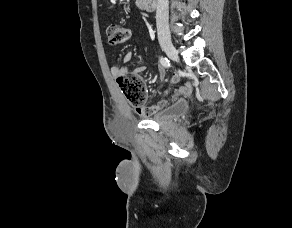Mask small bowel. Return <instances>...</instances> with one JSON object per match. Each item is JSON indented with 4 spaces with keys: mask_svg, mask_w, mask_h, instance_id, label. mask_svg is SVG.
I'll return each mask as SVG.
<instances>
[{
    "mask_svg": "<svg viewBox=\"0 0 292 228\" xmlns=\"http://www.w3.org/2000/svg\"><path fill=\"white\" fill-rule=\"evenodd\" d=\"M131 57H132L131 53H127L123 59L124 64L128 63L130 61ZM145 69H146V66L144 64H137L134 66L133 72H134V74L138 75V74L142 73L143 71H145ZM111 73L114 77L118 78V77L123 76L126 73H128V67L126 65H114L111 68ZM178 80H179L178 73H174L170 79L166 78L164 71H162V73H161L160 83H162V84L167 83V84L171 85V84H175L176 82H178ZM191 90H192V86L190 83L187 82L175 90L173 96L171 97V100L177 101L181 97L188 96L191 93ZM168 104H169V102L167 100L162 99V100H160L152 105L143 106L141 108H138V109H136V111L141 116H150V115H154L157 112L165 109L168 106Z\"/></svg>",
    "mask_w": 292,
    "mask_h": 228,
    "instance_id": "obj_1",
    "label": "small bowel"
}]
</instances>
